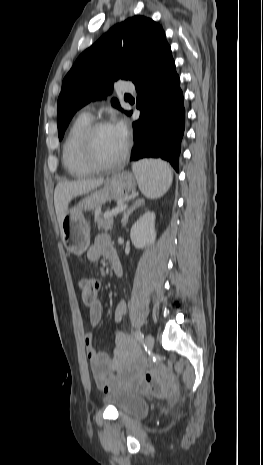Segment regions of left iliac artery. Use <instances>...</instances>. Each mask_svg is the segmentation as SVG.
I'll list each match as a JSON object with an SVG mask.
<instances>
[{
	"label": "left iliac artery",
	"mask_w": 263,
	"mask_h": 465,
	"mask_svg": "<svg viewBox=\"0 0 263 465\" xmlns=\"http://www.w3.org/2000/svg\"><path fill=\"white\" fill-rule=\"evenodd\" d=\"M134 335H135V338H136L137 341L143 342L144 335H143V333L141 331H139V330L135 331Z\"/></svg>",
	"instance_id": "left-iliac-artery-1"
}]
</instances>
